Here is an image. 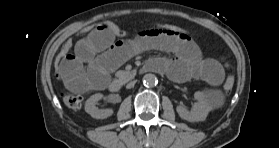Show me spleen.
<instances>
[{
	"instance_id": "1",
	"label": "spleen",
	"mask_w": 279,
	"mask_h": 148,
	"mask_svg": "<svg viewBox=\"0 0 279 148\" xmlns=\"http://www.w3.org/2000/svg\"><path fill=\"white\" fill-rule=\"evenodd\" d=\"M209 98L212 106L221 107L224 104V96L220 91L210 92Z\"/></svg>"
}]
</instances>
